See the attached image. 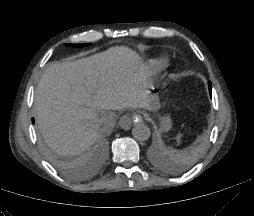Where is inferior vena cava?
<instances>
[{
    "mask_svg": "<svg viewBox=\"0 0 254 216\" xmlns=\"http://www.w3.org/2000/svg\"><path fill=\"white\" fill-rule=\"evenodd\" d=\"M105 119L102 118V117H97L95 120H94V123H95V126L96 127H101V125L104 123Z\"/></svg>",
    "mask_w": 254,
    "mask_h": 216,
    "instance_id": "inferior-vena-cava-1",
    "label": "inferior vena cava"
}]
</instances>
